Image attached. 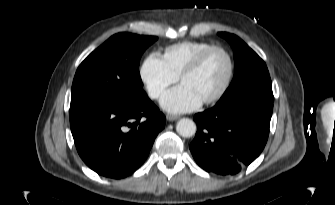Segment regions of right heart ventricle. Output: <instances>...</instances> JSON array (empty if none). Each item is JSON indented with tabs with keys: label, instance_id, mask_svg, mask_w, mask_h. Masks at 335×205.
Listing matches in <instances>:
<instances>
[{
	"label": "right heart ventricle",
	"instance_id": "e07e8e85",
	"mask_svg": "<svg viewBox=\"0 0 335 205\" xmlns=\"http://www.w3.org/2000/svg\"><path fill=\"white\" fill-rule=\"evenodd\" d=\"M212 46L202 41H182L167 46L162 59L167 67L179 77L185 67L203 50Z\"/></svg>",
	"mask_w": 335,
	"mask_h": 205
}]
</instances>
